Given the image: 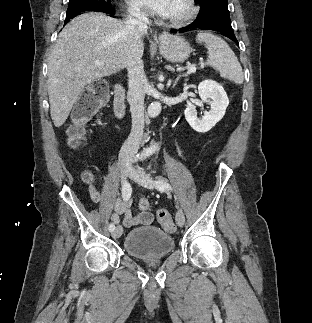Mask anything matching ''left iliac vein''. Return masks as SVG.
I'll list each match as a JSON object with an SVG mask.
<instances>
[{
	"label": "left iliac vein",
	"instance_id": "left-iliac-vein-1",
	"mask_svg": "<svg viewBox=\"0 0 312 323\" xmlns=\"http://www.w3.org/2000/svg\"><path fill=\"white\" fill-rule=\"evenodd\" d=\"M131 177L134 181L140 183L145 188H154L155 183L153 181V178L141 168H135ZM176 223L179 227H183L185 223L184 213L180 208H178L176 214Z\"/></svg>",
	"mask_w": 312,
	"mask_h": 323
}]
</instances>
